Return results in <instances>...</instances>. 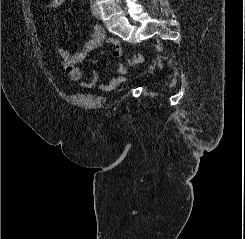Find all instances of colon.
Listing matches in <instances>:
<instances>
[{
    "instance_id": "1",
    "label": "colon",
    "mask_w": 245,
    "mask_h": 239,
    "mask_svg": "<svg viewBox=\"0 0 245 239\" xmlns=\"http://www.w3.org/2000/svg\"><path fill=\"white\" fill-rule=\"evenodd\" d=\"M142 60H143L142 56H134L132 58V63H140V62H142Z\"/></svg>"
}]
</instances>
